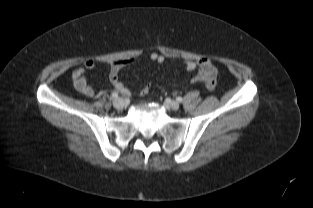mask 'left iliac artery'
<instances>
[{
    "instance_id": "44dca946",
    "label": "left iliac artery",
    "mask_w": 313,
    "mask_h": 208,
    "mask_svg": "<svg viewBox=\"0 0 313 208\" xmlns=\"http://www.w3.org/2000/svg\"><path fill=\"white\" fill-rule=\"evenodd\" d=\"M176 100H177L178 102H182V101H183L182 97H177Z\"/></svg>"
}]
</instances>
